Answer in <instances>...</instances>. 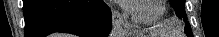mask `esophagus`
I'll list each match as a JSON object with an SVG mask.
<instances>
[{"mask_svg":"<svg viewBox=\"0 0 219 37\" xmlns=\"http://www.w3.org/2000/svg\"><path fill=\"white\" fill-rule=\"evenodd\" d=\"M112 23L114 27H118L120 24L124 25L123 18L118 11H112Z\"/></svg>","mask_w":219,"mask_h":37,"instance_id":"34e87169","label":"esophagus"}]
</instances>
